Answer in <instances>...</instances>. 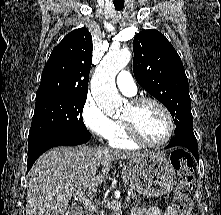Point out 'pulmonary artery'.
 <instances>
[{
  "mask_svg": "<svg viewBox=\"0 0 221 215\" xmlns=\"http://www.w3.org/2000/svg\"><path fill=\"white\" fill-rule=\"evenodd\" d=\"M118 88L126 95L133 96L137 92L136 84L128 71H121L116 79Z\"/></svg>",
  "mask_w": 221,
  "mask_h": 215,
  "instance_id": "1",
  "label": "pulmonary artery"
}]
</instances>
